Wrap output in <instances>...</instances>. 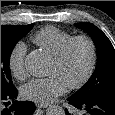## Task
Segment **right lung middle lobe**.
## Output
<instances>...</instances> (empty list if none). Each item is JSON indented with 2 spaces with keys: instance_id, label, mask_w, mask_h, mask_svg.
<instances>
[{
  "instance_id": "1",
  "label": "right lung middle lobe",
  "mask_w": 115,
  "mask_h": 115,
  "mask_svg": "<svg viewBox=\"0 0 115 115\" xmlns=\"http://www.w3.org/2000/svg\"><path fill=\"white\" fill-rule=\"evenodd\" d=\"M34 26H1V93L12 90L14 87L10 72V56L16 43L24 37Z\"/></svg>"
}]
</instances>
